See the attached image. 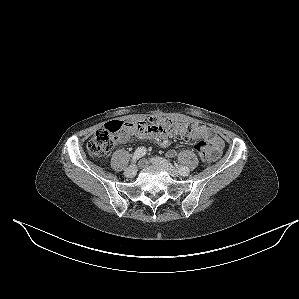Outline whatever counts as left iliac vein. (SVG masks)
<instances>
[{
    "label": "left iliac vein",
    "instance_id": "left-iliac-vein-1",
    "mask_svg": "<svg viewBox=\"0 0 299 299\" xmlns=\"http://www.w3.org/2000/svg\"><path fill=\"white\" fill-rule=\"evenodd\" d=\"M151 162L154 165L159 166V167L163 168L164 170H166L173 177H177L179 175L177 169L172 164H170L168 161H166L165 159H162L159 157H154L151 159Z\"/></svg>",
    "mask_w": 299,
    "mask_h": 299
}]
</instances>
